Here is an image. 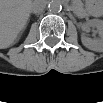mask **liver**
I'll use <instances>...</instances> for the list:
<instances>
[{"mask_svg": "<svg viewBox=\"0 0 103 103\" xmlns=\"http://www.w3.org/2000/svg\"><path fill=\"white\" fill-rule=\"evenodd\" d=\"M30 7L31 3L25 0H5L1 2V48H8L16 42L29 19Z\"/></svg>", "mask_w": 103, "mask_h": 103, "instance_id": "1", "label": "liver"}]
</instances>
